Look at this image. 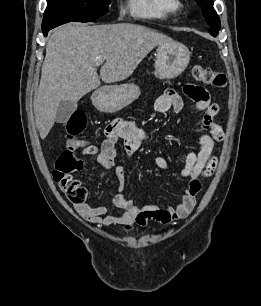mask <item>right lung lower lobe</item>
<instances>
[{"mask_svg": "<svg viewBox=\"0 0 261 306\" xmlns=\"http://www.w3.org/2000/svg\"><path fill=\"white\" fill-rule=\"evenodd\" d=\"M70 21L67 20H43L42 22V31L44 36H47L48 31Z\"/></svg>", "mask_w": 261, "mask_h": 306, "instance_id": "1", "label": "right lung lower lobe"}]
</instances>
